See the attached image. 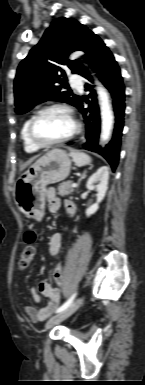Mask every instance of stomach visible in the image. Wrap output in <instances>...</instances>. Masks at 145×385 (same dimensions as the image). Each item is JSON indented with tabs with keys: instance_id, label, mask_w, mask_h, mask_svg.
I'll return each instance as SVG.
<instances>
[{
	"instance_id": "obj_1",
	"label": "stomach",
	"mask_w": 145,
	"mask_h": 385,
	"mask_svg": "<svg viewBox=\"0 0 145 385\" xmlns=\"http://www.w3.org/2000/svg\"><path fill=\"white\" fill-rule=\"evenodd\" d=\"M70 168L69 155L62 149H52L39 158L15 184L14 198L18 209L28 218L42 220L46 186L65 180Z\"/></svg>"
}]
</instances>
